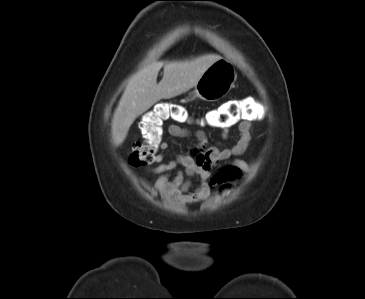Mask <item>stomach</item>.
<instances>
[{"mask_svg":"<svg viewBox=\"0 0 365 299\" xmlns=\"http://www.w3.org/2000/svg\"><path fill=\"white\" fill-rule=\"evenodd\" d=\"M237 74L232 63L220 58L211 64L202 74L189 98H199L214 102L229 93L234 87Z\"/></svg>","mask_w":365,"mask_h":299,"instance_id":"stomach-1","label":"stomach"}]
</instances>
